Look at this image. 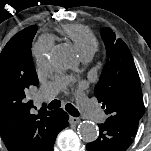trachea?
<instances>
[{
  "label": "trachea",
  "mask_w": 151,
  "mask_h": 151,
  "mask_svg": "<svg viewBox=\"0 0 151 151\" xmlns=\"http://www.w3.org/2000/svg\"><path fill=\"white\" fill-rule=\"evenodd\" d=\"M60 106H61V102L59 100H53L52 102L49 103L47 107L48 109H57ZM65 109L70 115L74 117L79 116V111L72 104L70 103L66 104Z\"/></svg>",
  "instance_id": "1"
}]
</instances>
